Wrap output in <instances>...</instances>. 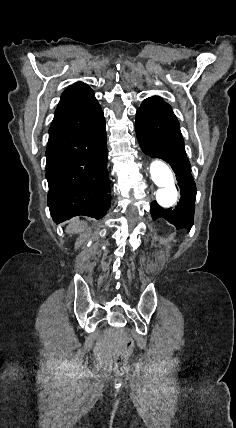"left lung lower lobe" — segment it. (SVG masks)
<instances>
[{
    "label": "left lung lower lobe",
    "mask_w": 236,
    "mask_h": 428,
    "mask_svg": "<svg viewBox=\"0 0 236 428\" xmlns=\"http://www.w3.org/2000/svg\"><path fill=\"white\" fill-rule=\"evenodd\" d=\"M135 129L142 151L170 164L176 174L181 199L175 208L151 204L153 220L165 218L176 229L190 230L194 222L196 185L191 175L179 122L169 104L144 101L136 113Z\"/></svg>",
    "instance_id": "obj_1"
}]
</instances>
